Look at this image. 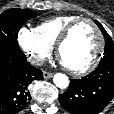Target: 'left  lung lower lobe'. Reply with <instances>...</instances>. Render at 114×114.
Listing matches in <instances>:
<instances>
[{"mask_svg": "<svg viewBox=\"0 0 114 114\" xmlns=\"http://www.w3.org/2000/svg\"><path fill=\"white\" fill-rule=\"evenodd\" d=\"M114 96V63L99 64L82 79H71L68 90L59 95L71 114H98Z\"/></svg>", "mask_w": 114, "mask_h": 114, "instance_id": "0a47b994", "label": "left lung lower lobe"}]
</instances>
